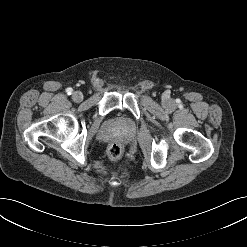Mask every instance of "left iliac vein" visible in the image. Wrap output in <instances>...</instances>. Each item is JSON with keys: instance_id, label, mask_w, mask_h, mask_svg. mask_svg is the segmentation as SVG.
Masks as SVG:
<instances>
[{"instance_id": "obj_1", "label": "left iliac vein", "mask_w": 247, "mask_h": 247, "mask_svg": "<svg viewBox=\"0 0 247 247\" xmlns=\"http://www.w3.org/2000/svg\"><path fill=\"white\" fill-rule=\"evenodd\" d=\"M171 105H172V103L170 101L165 102L166 107H170Z\"/></svg>"}]
</instances>
